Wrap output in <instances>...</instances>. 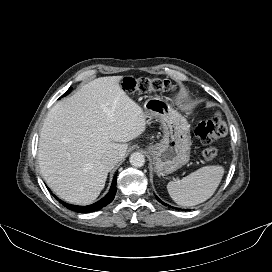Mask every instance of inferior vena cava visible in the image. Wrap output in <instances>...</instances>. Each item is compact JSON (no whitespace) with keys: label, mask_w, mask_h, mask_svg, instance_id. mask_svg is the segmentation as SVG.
I'll return each mask as SVG.
<instances>
[{"label":"inferior vena cava","mask_w":272,"mask_h":272,"mask_svg":"<svg viewBox=\"0 0 272 272\" xmlns=\"http://www.w3.org/2000/svg\"><path fill=\"white\" fill-rule=\"evenodd\" d=\"M102 161L107 165L114 166L120 161V156L116 151H109L103 156Z\"/></svg>","instance_id":"obj_1"}]
</instances>
